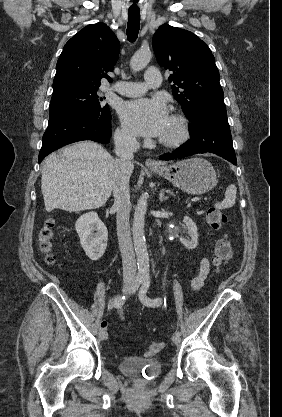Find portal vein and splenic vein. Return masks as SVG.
Wrapping results in <instances>:
<instances>
[{
	"mask_svg": "<svg viewBox=\"0 0 282 417\" xmlns=\"http://www.w3.org/2000/svg\"><path fill=\"white\" fill-rule=\"evenodd\" d=\"M199 200H200L199 195H196L194 198L188 199V202H191V203H198V202H199ZM203 200H204V198H203Z\"/></svg>",
	"mask_w": 282,
	"mask_h": 417,
	"instance_id": "portal-vein-and-splenic-vein-1",
	"label": "portal vein and splenic vein"
}]
</instances>
